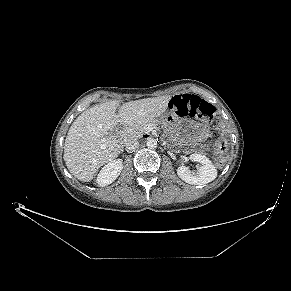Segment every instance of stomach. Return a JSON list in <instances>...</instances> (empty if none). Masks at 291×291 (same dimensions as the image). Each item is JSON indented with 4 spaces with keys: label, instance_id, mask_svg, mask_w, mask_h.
Wrapping results in <instances>:
<instances>
[{
    "label": "stomach",
    "instance_id": "obj_1",
    "mask_svg": "<svg viewBox=\"0 0 291 291\" xmlns=\"http://www.w3.org/2000/svg\"><path fill=\"white\" fill-rule=\"evenodd\" d=\"M160 121L163 123H171L173 121H178L182 125H187L192 130V136L194 138H202L205 136V129L200 126L194 120L188 118H178L172 114H165L160 117Z\"/></svg>",
    "mask_w": 291,
    "mask_h": 291
}]
</instances>
